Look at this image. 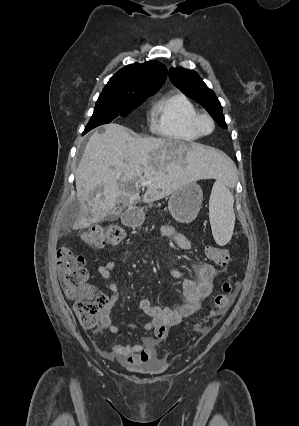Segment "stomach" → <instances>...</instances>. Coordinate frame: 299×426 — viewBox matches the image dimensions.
<instances>
[{
  "label": "stomach",
  "instance_id": "1",
  "mask_svg": "<svg viewBox=\"0 0 299 426\" xmlns=\"http://www.w3.org/2000/svg\"><path fill=\"white\" fill-rule=\"evenodd\" d=\"M203 201L201 187L189 182L175 190L168 202L169 212L180 223H190L197 217Z\"/></svg>",
  "mask_w": 299,
  "mask_h": 426
}]
</instances>
